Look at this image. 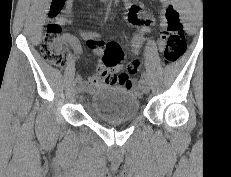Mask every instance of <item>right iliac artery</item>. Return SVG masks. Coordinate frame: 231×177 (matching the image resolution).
<instances>
[{
    "instance_id": "82829eb1",
    "label": "right iliac artery",
    "mask_w": 231,
    "mask_h": 177,
    "mask_svg": "<svg viewBox=\"0 0 231 177\" xmlns=\"http://www.w3.org/2000/svg\"><path fill=\"white\" fill-rule=\"evenodd\" d=\"M81 80H82L81 76L78 75L75 79V83H81Z\"/></svg>"
}]
</instances>
